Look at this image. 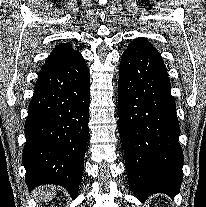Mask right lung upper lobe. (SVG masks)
<instances>
[{
  "label": "right lung upper lobe",
  "mask_w": 206,
  "mask_h": 207,
  "mask_svg": "<svg viewBox=\"0 0 206 207\" xmlns=\"http://www.w3.org/2000/svg\"><path fill=\"white\" fill-rule=\"evenodd\" d=\"M80 55L81 54L78 51L72 49L70 44L56 46L47 58V61L45 62L42 71L62 65L65 62L74 59Z\"/></svg>",
  "instance_id": "cb5924a9"
}]
</instances>
